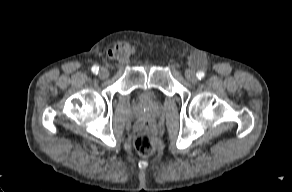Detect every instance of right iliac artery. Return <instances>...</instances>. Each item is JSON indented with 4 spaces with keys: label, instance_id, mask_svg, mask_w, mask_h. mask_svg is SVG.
Masks as SVG:
<instances>
[{
    "label": "right iliac artery",
    "instance_id": "1",
    "mask_svg": "<svg viewBox=\"0 0 292 192\" xmlns=\"http://www.w3.org/2000/svg\"><path fill=\"white\" fill-rule=\"evenodd\" d=\"M91 70H92V72H93L94 74H97L98 71H99V67H98V66H93Z\"/></svg>",
    "mask_w": 292,
    "mask_h": 192
}]
</instances>
